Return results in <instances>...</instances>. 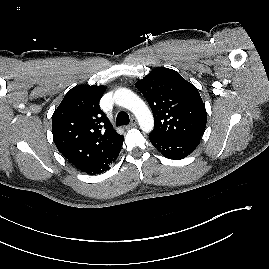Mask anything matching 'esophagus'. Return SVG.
<instances>
[{
  "mask_svg": "<svg viewBox=\"0 0 269 269\" xmlns=\"http://www.w3.org/2000/svg\"><path fill=\"white\" fill-rule=\"evenodd\" d=\"M136 124H137L136 119H135V118H132V119H131V123H130L129 125H127L125 128H126V129L133 128V127L136 126Z\"/></svg>",
  "mask_w": 269,
  "mask_h": 269,
  "instance_id": "obj_1",
  "label": "esophagus"
}]
</instances>
